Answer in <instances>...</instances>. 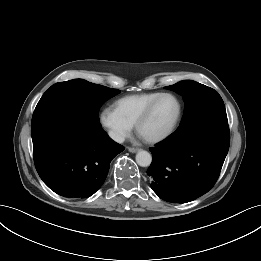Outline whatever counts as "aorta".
I'll use <instances>...</instances> for the list:
<instances>
[{"mask_svg":"<svg viewBox=\"0 0 261 261\" xmlns=\"http://www.w3.org/2000/svg\"><path fill=\"white\" fill-rule=\"evenodd\" d=\"M136 162L141 167H148L152 162V156L149 152L141 150L136 154Z\"/></svg>","mask_w":261,"mask_h":261,"instance_id":"1","label":"aorta"}]
</instances>
